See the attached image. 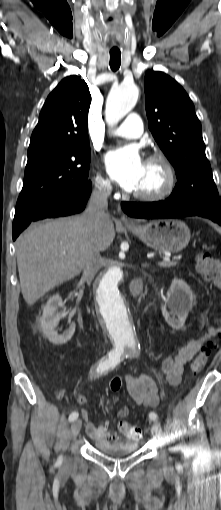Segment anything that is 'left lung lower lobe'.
Returning <instances> with one entry per match:
<instances>
[{"mask_svg":"<svg viewBox=\"0 0 221 510\" xmlns=\"http://www.w3.org/2000/svg\"><path fill=\"white\" fill-rule=\"evenodd\" d=\"M123 211L136 218H177L201 216L221 225V206L215 204L191 205L172 203L168 200L152 203H121Z\"/></svg>","mask_w":221,"mask_h":510,"instance_id":"1","label":"left lung lower lobe"}]
</instances>
